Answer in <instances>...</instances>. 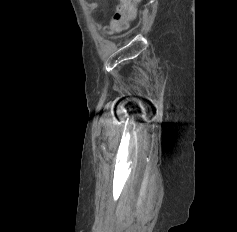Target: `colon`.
Instances as JSON below:
<instances>
[{
  "label": "colon",
  "mask_w": 237,
  "mask_h": 232,
  "mask_svg": "<svg viewBox=\"0 0 237 232\" xmlns=\"http://www.w3.org/2000/svg\"><path fill=\"white\" fill-rule=\"evenodd\" d=\"M139 0H120L110 24L105 27L106 34H112L127 29L136 14V5Z\"/></svg>",
  "instance_id": "1"
}]
</instances>
